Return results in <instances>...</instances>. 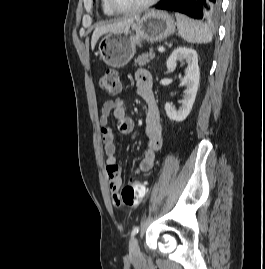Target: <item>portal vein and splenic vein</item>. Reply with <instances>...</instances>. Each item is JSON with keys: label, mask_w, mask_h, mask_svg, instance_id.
I'll return each instance as SVG.
<instances>
[{"label": "portal vein and splenic vein", "mask_w": 265, "mask_h": 269, "mask_svg": "<svg viewBox=\"0 0 265 269\" xmlns=\"http://www.w3.org/2000/svg\"><path fill=\"white\" fill-rule=\"evenodd\" d=\"M158 51L162 53V52L165 51V48H164V47H159V48H158Z\"/></svg>", "instance_id": "portal-vein-and-splenic-vein-1"}]
</instances>
